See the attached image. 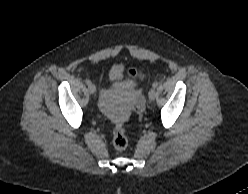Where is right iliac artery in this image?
I'll return each mask as SVG.
<instances>
[{"label": "right iliac artery", "instance_id": "1", "mask_svg": "<svg viewBox=\"0 0 248 194\" xmlns=\"http://www.w3.org/2000/svg\"><path fill=\"white\" fill-rule=\"evenodd\" d=\"M86 84L87 85H90L91 84V81L90 80H86Z\"/></svg>", "mask_w": 248, "mask_h": 194}]
</instances>
